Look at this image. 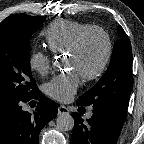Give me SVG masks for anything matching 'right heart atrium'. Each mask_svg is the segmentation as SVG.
Masks as SVG:
<instances>
[{"label": "right heart atrium", "mask_w": 144, "mask_h": 144, "mask_svg": "<svg viewBox=\"0 0 144 144\" xmlns=\"http://www.w3.org/2000/svg\"><path fill=\"white\" fill-rule=\"evenodd\" d=\"M29 67L40 75H45L50 69V56L45 51L35 50L28 59Z\"/></svg>", "instance_id": "obj_1"}]
</instances>
